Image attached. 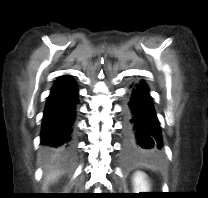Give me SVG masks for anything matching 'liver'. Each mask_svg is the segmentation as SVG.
Segmentation results:
<instances>
[{
  "label": "liver",
  "mask_w": 208,
  "mask_h": 198,
  "mask_svg": "<svg viewBox=\"0 0 208 198\" xmlns=\"http://www.w3.org/2000/svg\"><path fill=\"white\" fill-rule=\"evenodd\" d=\"M55 179H56V175L51 174L50 177H49V180H53L54 181Z\"/></svg>",
  "instance_id": "liver-1"
}]
</instances>
